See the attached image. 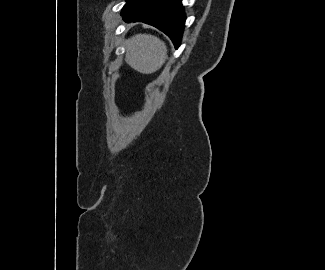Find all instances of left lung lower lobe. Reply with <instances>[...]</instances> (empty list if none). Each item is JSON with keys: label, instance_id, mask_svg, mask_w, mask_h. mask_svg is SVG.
<instances>
[{"label": "left lung lower lobe", "instance_id": "1", "mask_svg": "<svg viewBox=\"0 0 325 270\" xmlns=\"http://www.w3.org/2000/svg\"><path fill=\"white\" fill-rule=\"evenodd\" d=\"M183 10L181 0H127L121 15L125 20L144 22L158 28L178 48L185 27Z\"/></svg>", "mask_w": 325, "mask_h": 270}]
</instances>
